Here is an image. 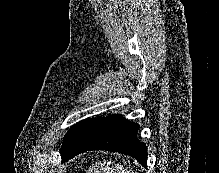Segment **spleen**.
Here are the masks:
<instances>
[{"instance_id": "obj_1", "label": "spleen", "mask_w": 219, "mask_h": 173, "mask_svg": "<svg viewBox=\"0 0 219 173\" xmlns=\"http://www.w3.org/2000/svg\"><path fill=\"white\" fill-rule=\"evenodd\" d=\"M92 173H134L131 169L123 168L120 165L99 164L95 169H90ZM132 171V172H131ZM136 173V172H135Z\"/></svg>"}]
</instances>
